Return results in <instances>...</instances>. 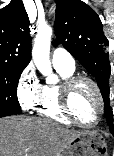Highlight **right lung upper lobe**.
Returning a JSON list of instances; mask_svg holds the SVG:
<instances>
[{"mask_svg":"<svg viewBox=\"0 0 114 156\" xmlns=\"http://www.w3.org/2000/svg\"><path fill=\"white\" fill-rule=\"evenodd\" d=\"M31 60L29 18L22 0L0 9V64L25 68Z\"/></svg>","mask_w":114,"mask_h":156,"instance_id":"obj_1","label":"right lung upper lobe"}]
</instances>
